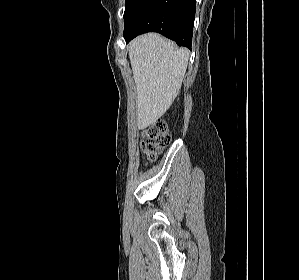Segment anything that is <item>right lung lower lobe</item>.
Wrapping results in <instances>:
<instances>
[{
	"instance_id": "98d812e1",
	"label": "right lung lower lobe",
	"mask_w": 299,
	"mask_h": 280,
	"mask_svg": "<svg viewBox=\"0 0 299 280\" xmlns=\"http://www.w3.org/2000/svg\"><path fill=\"white\" fill-rule=\"evenodd\" d=\"M195 0H126L123 36L128 43L146 32H158L179 46L192 45Z\"/></svg>"
}]
</instances>
